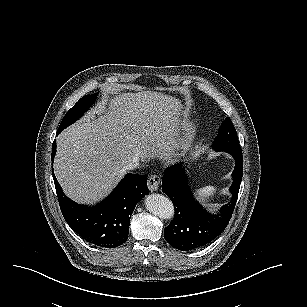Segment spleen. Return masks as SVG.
<instances>
[{"label": "spleen", "instance_id": "1", "mask_svg": "<svg viewBox=\"0 0 307 307\" xmlns=\"http://www.w3.org/2000/svg\"><path fill=\"white\" fill-rule=\"evenodd\" d=\"M219 188L214 185H206L202 188H196L192 191L193 199L199 204L204 210H208L210 203L214 200Z\"/></svg>", "mask_w": 307, "mask_h": 307}]
</instances>
